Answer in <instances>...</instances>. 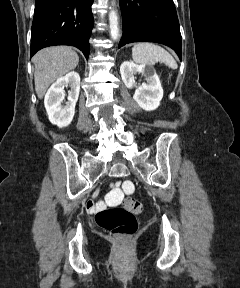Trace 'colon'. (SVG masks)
<instances>
[{
	"instance_id": "1",
	"label": "colon",
	"mask_w": 240,
	"mask_h": 288,
	"mask_svg": "<svg viewBox=\"0 0 240 288\" xmlns=\"http://www.w3.org/2000/svg\"><path fill=\"white\" fill-rule=\"evenodd\" d=\"M123 188L131 192L133 186L125 182ZM142 211V204L133 198L125 200L123 206L102 209L96 213L95 221L103 230L119 238H127L133 235L138 228L136 216Z\"/></svg>"
}]
</instances>
